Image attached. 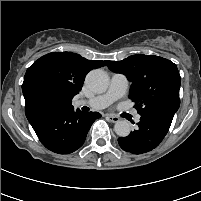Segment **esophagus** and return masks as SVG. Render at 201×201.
Instances as JSON below:
<instances>
[{
  "label": "esophagus",
  "mask_w": 201,
  "mask_h": 201,
  "mask_svg": "<svg viewBox=\"0 0 201 201\" xmlns=\"http://www.w3.org/2000/svg\"><path fill=\"white\" fill-rule=\"evenodd\" d=\"M106 118H107L109 121L113 122V123H116V122H118V121L120 120V118H119L118 116L113 115V114H107V115H106Z\"/></svg>",
  "instance_id": "34e87169"
}]
</instances>
